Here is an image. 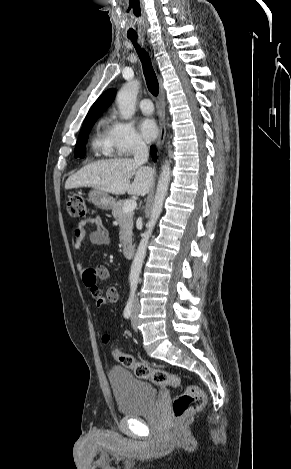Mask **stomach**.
I'll list each match as a JSON object with an SVG mask.
<instances>
[{"label": "stomach", "instance_id": "obj_1", "mask_svg": "<svg viewBox=\"0 0 291 469\" xmlns=\"http://www.w3.org/2000/svg\"><path fill=\"white\" fill-rule=\"evenodd\" d=\"M89 201L92 202L96 207L103 210H110L115 205V199L110 196L107 192L92 189L89 194Z\"/></svg>", "mask_w": 291, "mask_h": 469}]
</instances>
